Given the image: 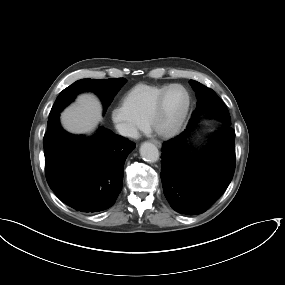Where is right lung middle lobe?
<instances>
[{
  "label": "right lung middle lobe",
  "mask_w": 285,
  "mask_h": 285,
  "mask_svg": "<svg viewBox=\"0 0 285 285\" xmlns=\"http://www.w3.org/2000/svg\"><path fill=\"white\" fill-rule=\"evenodd\" d=\"M126 82L124 78H113L105 80L81 79L65 88L57 97L48 119L49 129L58 119L59 114L74 98L83 91H93L99 95L104 105V112L111 104L114 96Z\"/></svg>",
  "instance_id": "1"
}]
</instances>
